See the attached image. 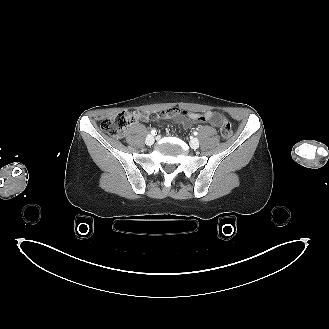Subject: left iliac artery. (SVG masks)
Masks as SVG:
<instances>
[{
    "instance_id": "obj_1",
    "label": "left iliac artery",
    "mask_w": 329,
    "mask_h": 329,
    "mask_svg": "<svg viewBox=\"0 0 329 329\" xmlns=\"http://www.w3.org/2000/svg\"><path fill=\"white\" fill-rule=\"evenodd\" d=\"M194 135H195V136L198 135V132L195 131V132H194Z\"/></svg>"
}]
</instances>
